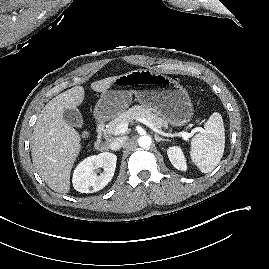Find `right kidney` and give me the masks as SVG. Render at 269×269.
<instances>
[{
  "instance_id": "1",
  "label": "right kidney",
  "mask_w": 269,
  "mask_h": 269,
  "mask_svg": "<svg viewBox=\"0 0 269 269\" xmlns=\"http://www.w3.org/2000/svg\"><path fill=\"white\" fill-rule=\"evenodd\" d=\"M116 162L117 156L109 152L87 157L74 170V189L81 193H93L103 189L114 176ZM99 167H103L104 171L97 175L94 170Z\"/></svg>"
}]
</instances>
